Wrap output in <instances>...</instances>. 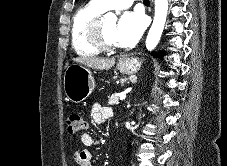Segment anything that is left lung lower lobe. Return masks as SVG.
<instances>
[{
    "instance_id": "0a47b994",
    "label": "left lung lower lobe",
    "mask_w": 227,
    "mask_h": 166,
    "mask_svg": "<svg viewBox=\"0 0 227 166\" xmlns=\"http://www.w3.org/2000/svg\"><path fill=\"white\" fill-rule=\"evenodd\" d=\"M153 55L157 56L158 53H153ZM162 56H163V53L161 52V53H160V57H162Z\"/></svg>"
}]
</instances>
